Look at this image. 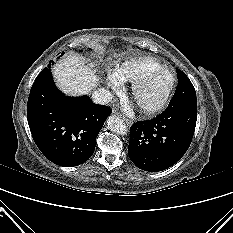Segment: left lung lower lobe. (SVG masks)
<instances>
[{
    "instance_id": "left-lung-lower-lobe-1",
    "label": "left lung lower lobe",
    "mask_w": 233,
    "mask_h": 233,
    "mask_svg": "<svg viewBox=\"0 0 233 233\" xmlns=\"http://www.w3.org/2000/svg\"><path fill=\"white\" fill-rule=\"evenodd\" d=\"M197 120V106L167 107L157 117L130 128L128 154L140 169L158 172L174 165L188 150Z\"/></svg>"
}]
</instances>
